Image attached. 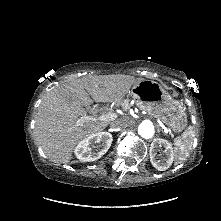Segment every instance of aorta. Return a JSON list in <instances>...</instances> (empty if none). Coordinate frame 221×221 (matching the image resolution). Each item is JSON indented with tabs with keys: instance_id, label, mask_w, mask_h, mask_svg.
I'll return each instance as SVG.
<instances>
[{
	"instance_id": "762f6f07",
	"label": "aorta",
	"mask_w": 221,
	"mask_h": 221,
	"mask_svg": "<svg viewBox=\"0 0 221 221\" xmlns=\"http://www.w3.org/2000/svg\"><path fill=\"white\" fill-rule=\"evenodd\" d=\"M154 132V125L149 120H144L138 127V134L145 139L152 138Z\"/></svg>"
}]
</instances>
